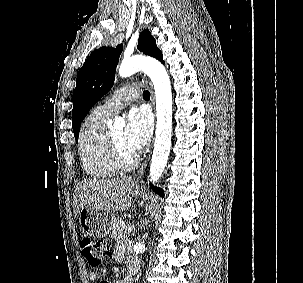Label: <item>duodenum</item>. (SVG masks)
Masks as SVG:
<instances>
[{"label":"duodenum","instance_id":"1","mask_svg":"<svg viewBox=\"0 0 303 283\" xmlns=\"http://www.w3.org/2000/svg\"><path fill=\"white\" fill-rule=\"evenodd\" d=\"M139 270V261L137 259H132L128 265V272L127 276L131 278L132 283V276L135 275Z\"/></svg>","mask_w":303,"mask_h":283}]
</instances>
